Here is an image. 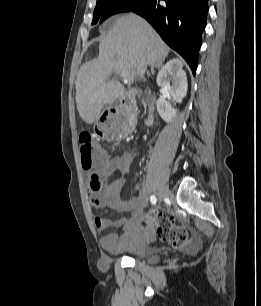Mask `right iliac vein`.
Returning <instances> with one entry per match:
<instances>
[{"label": "right iliac vein", "instance_id": "obj_1", "mask_svg": "<svg viewBox=\"0 0 261 306\" xmlns=\"http://www.w3.org/2000/svg\"><path fill=\"white\" fill-rule=\"evenodd\" d=\"M169 195V189L166 185H162L159 190V202H162Z\"/></svg>", "mask_w": 261, "mask_h": 306}]
</instances>
